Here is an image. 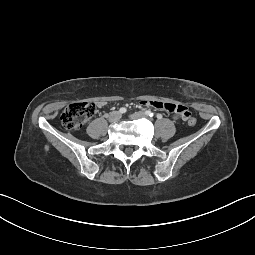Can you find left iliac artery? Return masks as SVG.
I'll list each match as a JSON object with an SVG mask.
<instances>
[{"instance_id":"44dca946","label":"left iliac artery","mask_w":255,"mask_h":255,"mask_svg":"<svg viewBox=\"0 0 255 255\" xmlns=\"http://www.w3.org/2000/svg\"><path fill=\"white\" fill-rule=\"evenodd\" d=\"M145 114L150 116V117L154 116V114L150 110H146Z\"/></svg>"}]
</instances>
